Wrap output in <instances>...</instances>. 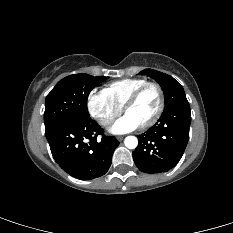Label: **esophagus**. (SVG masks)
Wrapping results in <instances>:
<instances>
[{
  "label": "esophagus",
  "instance_id": "obj_1",
  "mask_svg": "<svg viewBox=\"0 0 233 233\" xmlns=\"http://www.w3.org/2000/svg\"><path fill=\"white\" fill-rule=\"evenodd\" d=\"M123 138H124V136H117V140H118V141H122Z\"/></svg>",
  "mask_w": 233,
  "mask_h": 233
}]
</instances>
